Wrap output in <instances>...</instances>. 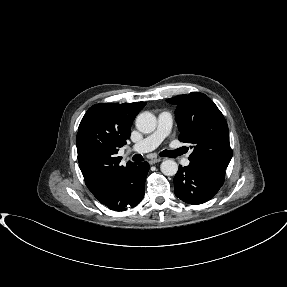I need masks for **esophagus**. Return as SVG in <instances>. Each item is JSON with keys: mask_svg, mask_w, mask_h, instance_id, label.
<instances>
[{"mask_svg": "<svg viewBox=\"0 0 287 287\" xmlns=\"http://www.w3.org/2000/svg\"><path fill=\"white\" fill-rule=\"evenodd\" d=\"M161 161H162L161 158H153V159L149 160V164H150V165H153V164L159 163V162H161Z\"/></svg>", "mask_w": 287, "mask_h": 287, "instance_id": "obj_1", "label": "esophagus"}]
</instances>
